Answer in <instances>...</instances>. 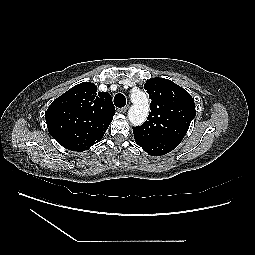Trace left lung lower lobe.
I'll list each match as a JSON object with an SVG mask.
<instances>
[{
  "instance_id": "obj_1",
  "label": "left lung lower lobe",
  "mask_w": 255,
  "mask_h": 255,
  "mask_svg": "<svg viewBox=\"0 0 255 255\" xmlns=\"http://www.w3.org/2000/svg\"><path fill=\"white\" fill-rule=\"evenodd\" d=\"M135 142L151 156H161L175 149L181 142L175 138H140L136 137Z\"/></svg>"
}]
</instances>
